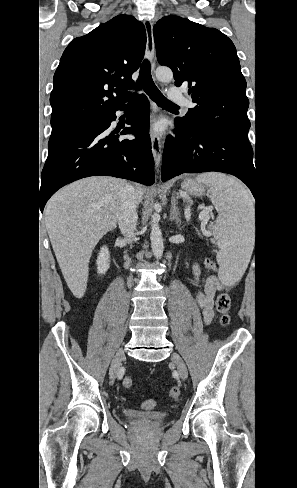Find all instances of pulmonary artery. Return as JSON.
Instances as JSON below:
<instances>
[{
  "instance_id": "e3ab8cb5",
  "label": "pulmonary artery",
  "mask_w": 297,
  "mask_h": 488,
  "mask_svg": "<svg viewBox=\"0 0 297 488\" xmlns=\"http://www.w3.org/2000/svg\"><path fill=\"white\" fill-rule=\"evenodd\" d=\"M169 99L171 101L180 103L183 106H190L189 100L184 97L181 93H178L177 91L171 90L169 91Z\"/></svg>"
}]
</instances>
